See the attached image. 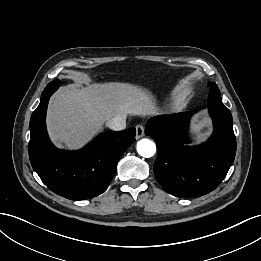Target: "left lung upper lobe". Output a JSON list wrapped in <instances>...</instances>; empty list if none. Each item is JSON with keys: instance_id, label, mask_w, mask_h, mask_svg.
<instances>
[{"instance_id": "5c2ea615", "label": "left lung upper lobe", "mask_w": 261, "mask_h": 261, "mask_svg": "<svg viewBox=\"0 0 261 261\" xmlns=\"http://www.w3.org/2000/svg\"><path fill=\"white\" fill-rule=\"evenodd\" d=\"M208 86H210V94L208 97L209 110L226 114L230 113L228 108L223 104L221 100V94L216 84L213 82H209Z\"/></svg>"}]
</instances>
